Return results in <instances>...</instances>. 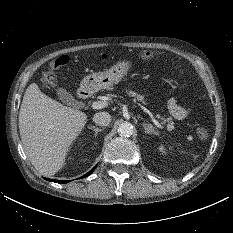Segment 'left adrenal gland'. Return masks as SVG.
<instances>
[{
	"instance_id": "a2214340",
	"label": "left adrenal gland",
	"mask_w": 233,
	"mask_h": 233,
	"mask_svg": "<svg viewBox=\"0 0 233 233\" xmlns=\"http://www.w3.org/2000/svg\"><path fill=\"white\" fill-rule=\"evenodd\" d=\"M142 125H143V127L145 129V133L154 134V135L159 136V133L154 130V127L151 124L143 123Z\"/></svg>"
}]
</instances>
